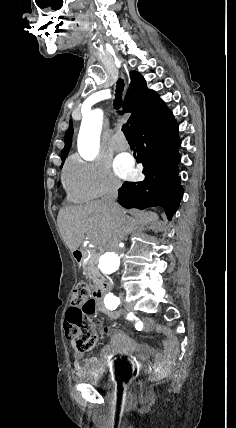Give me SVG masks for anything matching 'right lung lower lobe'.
Segmentation results:
<instances>
[{
    "mask_svg": "<svg viewBox=\"0 0 236 428\" xmlns=\"http://www.w3.org/2000/svg\"><path fill=\"white\" fill-rule=\"evenodd\" d=\"M132 131L137 142V162L144 167L145 179L125 182L119 189L118 202L125 208L160 206L171 220L183 194L177 168L180 161L178 125L172 112L166 108Z\"/></svg>",
    "mask_w": 236,
    "mask_h": 428,
    "instance_id": "right-lung-lower-lobe-1",
    "label": "right lung lower lobe"
}]
</instances>
